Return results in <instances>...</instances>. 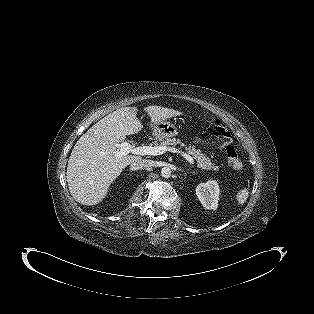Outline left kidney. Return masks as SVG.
Segmentation results:
<instances>
[{"label":"left kidney","mask_w":314,"mask_h":314,"mask_svg":"<svg viewBox=\"0 0 314 314\" xmlns=\"http://www.w3.org/2000/svg\"><path fill=\"white\" fill-rule=\"evenodd\" d=\"M219 185L214 180H209L206 183H200L196 187V195L201 204L210 210H216L219 200Z\"/></svg>","instance_id":"1"}]
</instances>
